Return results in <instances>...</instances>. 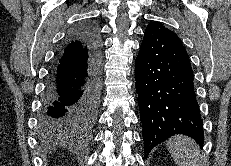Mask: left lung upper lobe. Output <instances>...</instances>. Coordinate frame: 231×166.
Masks as SVG:
<instances>
[{"label":"left lung upper lobe","instance_id":"left-lung-upper-lobe-1","mask_svg":"<svg viewBox=\"0 0 231 166\" xmlns=\"http://www.w3.org/2000/svg\"><path fill=\"white\" fill-rule=\"evenodd\" d=\"M147 27H154V28H157L164 33L176 35L173 31L167 29L165 26H163L160 22H157V21L150 23Z\"/></svg>","mask_w":231,"mask_h":166}]
</instances>
